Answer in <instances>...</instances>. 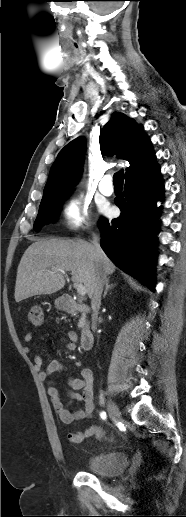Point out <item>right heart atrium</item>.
<instances>
[{"instance_id":"right-heart-atrium-1","label":"right heart atrium","mask_w":186,"mask_h":517,"mask_svg":"<svg viewBox=\"0 0 186 517\" xmlns=\"http://www.w3.org/2000/svg\"><path fill=\"white\" fill-rule=\"evenodd\" d=\"M65 227L70 231H77L90 226V204L80 195L68 199L61 210Z\"/></svg>"}]
</instances>
